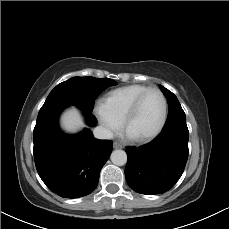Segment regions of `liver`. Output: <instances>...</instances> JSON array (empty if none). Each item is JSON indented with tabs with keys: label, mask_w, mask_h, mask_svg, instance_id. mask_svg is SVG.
<instances>
[{
	"label": "liver",
	"mask_w": 229,
	"mask_h": 229,
	"mask_svg": "<svg viewBox=\"0 0 229 229\" xmlns=\"http://www.w3.org/2000/svg\"><path fill=\"white\" fill-rule=\"evenodd\" d=\"M61 124L62 127L69 132H74L84 127L82 117L79 111L75 108H72L63 114Z\"/></svg>",
	"instance_id": "1"
}]
</instances>
